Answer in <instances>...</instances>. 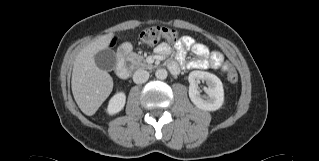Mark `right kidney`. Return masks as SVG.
Masks as SVG:
<instances>
[{"label":"right kidney","instance_id":"1","mask_svg":"<svg viewBox=\"0 0 319 161\" xmlns=\"http://www.w3.org/2000/svg\"><path fill=\"white\" fill-rule=\"evenodd\" d=\"M126 102V95L124 92H118L116 93L109 101L108 107H107V113L109 115H114L118 112H120Z\"/></svg>","mask_w":319,"mask_h":161}]
</instances>
